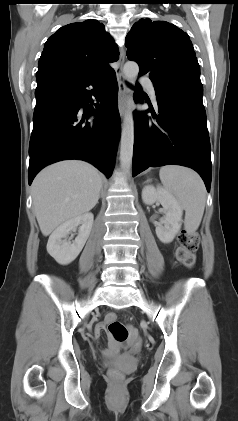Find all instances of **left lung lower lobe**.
Masks as SVG:
<instances>
[{"instance_id": "1", "label": "left lung lower lobe", "mask_w": 238, "mask_h": 421, "mask_svg": "<svg viewBox=\"0 0 238 421\" xmlns=\"http://www.w3.org/2000/svg\"><path fill=\"white\" fill-rule=\"evenodd\" d=\"M154 88L159 115L153 108H150L153 118L145 112L134 111L133 176L148 167L187 166L200 174L209 192L211 147L200 78L154 84ZM134 99L143 102L138 92Z\"/></svg>"}]
</instances>
